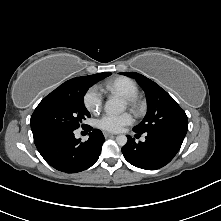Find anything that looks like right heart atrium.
<instances>
[{
	"instance_id": "right-heart-atrium-1",
	"label": "right heart atrium",
	"mask_w": 221,
	"mask_h": 221,
	"mask_svg": "<svg viewBox=\"0 0 221 221\" xmlns=\"http://www.w3.org/2000/svg\"><path fill=\"white\" fill-rule=\"evenodd\" d=\"M86 109L92 113L98 112L103 104V96L96 86L90 87L83 96Z\"/></svg>"
}]
</instances>
